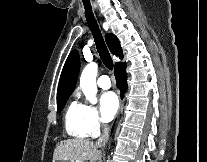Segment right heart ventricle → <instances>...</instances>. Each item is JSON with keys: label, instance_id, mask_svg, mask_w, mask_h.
<instances>
[{"label": "right heart ventricle", "instance_id": "obj_1", "mask_svg": "<svg viewBox=\"0 0 207 162\" xmlns=\"http://www.w3.org/2000/svg\"><path fill=\"white\" fill-rule=\"evenodd\" d=\"M64 126L70 136L88 138L90 134L86 126V106L76 100L71 101L65 112Z\"/></svg>", "mask_w": 207, "mask_h": 162}]
</instances>
